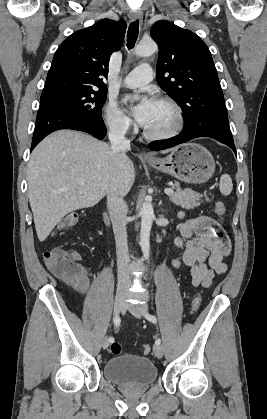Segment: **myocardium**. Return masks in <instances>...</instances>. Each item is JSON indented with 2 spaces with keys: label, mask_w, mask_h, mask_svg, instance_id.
Listing matches in <instances>:
<instances>
[{
  "label": "myocardium",
  "mask_w": 267,
  "mask_h": 419,
  "mask_svg": "<svg viewBox=\"0 0 267 419\" xmlns=\"http://www.w3.org/2000/svg\"><path fill=\"white\" fill-rule=\"evenodd\" d=\"M155 101L170 105L175 112L176 122L172 128L164 132H151L143 127L144 136L150 140H166L178 135L184 125V114L179 103L173 98L164 95L156 97Z\"/></svg>",
  "instance_id": "1"
}]
</instances>
